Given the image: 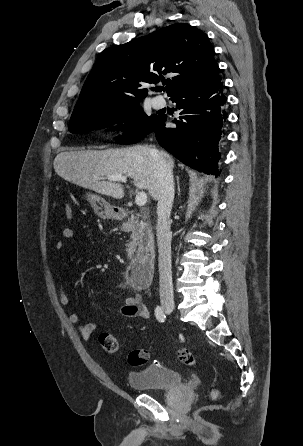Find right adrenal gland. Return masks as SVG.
<instances>
[{
	"label": "right adrenal gland",
	"mask_w": 303,
	"mask_h": 446,
	"mask_svg": "<svg viewBox=\"0 0 303 446\" xmlns=\"http://www.w3.org/2000/svg\"><path fill=\"white\" fill-rule=\"evenodd\" d=\"M177 188H178V194L180 195V185H179V178L177 177Z\"/></svg>",
	"instance_id": "obj_1"
}]
</instances>
